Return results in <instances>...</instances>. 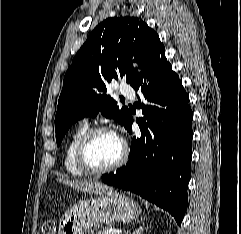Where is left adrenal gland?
I'll return each mask as SVG.
<instances>
[{
  "label": "left adrenal gland",
  "instance_id": "1",
  "mask_svg": "<svg viewBox=\"0 0 241 234\" xmlns=\"http://www.w3.org/2000/svg\"><path fill=\"white\" fill-rule=\"evenodd\" d=\"M142 231H143V226H139L135 231H133V233H131L130 230H127L125 234H141Z\"/></svg>",
  "mask_w": 241,
  "mask_h": 234
}]
</instances>
